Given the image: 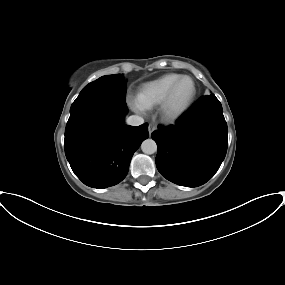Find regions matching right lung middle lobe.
I'll use <instances>...</instances> for the list:
<instances>
[{
	"mask_svg": "<svg viewBox=\"0 0 285 285\" xmlns=\"http://www.w3.org/2000/svg\"><path fill=\"white\" fill-rule=\"evenodd\" d=\"M98 96H117L125 98L126 83L123 79V75L114 74L102 76L86 85L71 105L70 112H73L85 101Z\"/></svg>",
	"mask_w": 285,
	"mask_h": 285,
	"instance_id": "right-lung-middle-lobe-1",
	"label": "right lung middle lobe"
}]
</instances>
